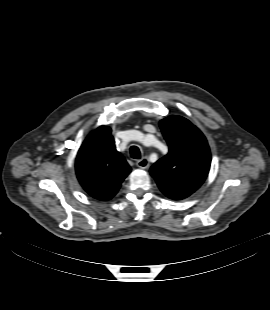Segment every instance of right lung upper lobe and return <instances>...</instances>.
Segmentation results:
<instances>
[{
    "mask_svg": "<svg viewBox=\"0 0 270 310\" xmlns=\"http://www.w3.org/2000/svg\"><path fill=\"white\" fill-rule=\"evenodd\" d=\"M111 129L100 126L78 151L75 169L79 183L93 198L110 200L131 172L125 158L115 148Z\"/></svg>",
    "mask_w": 270,
    "mask_h": 310,
    "instance_id": "cb5924a9",
    "label": "right lung upper lobe"
}]
</instances>
